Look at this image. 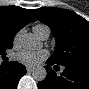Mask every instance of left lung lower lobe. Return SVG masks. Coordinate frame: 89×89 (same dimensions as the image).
Instances as JSON below:
<instances>
[{
    "mask_svg": "<svg viewBox=\"0 0 89 89\" xmlns=\"http://www.w3.org/2000/svg\"><path fill=\"white\" fill-rule=\"evenodd\" d=\"M54 64L50 59L47 60V76L38 83L39 89H89V65L65 66L58 76L50 67Z\"/></svg>",
    "mask_w": 89,
    "mask_h": 89,
    "instance_id": "1",
    "label": "left lung lower lobe"
}]
</instances>
